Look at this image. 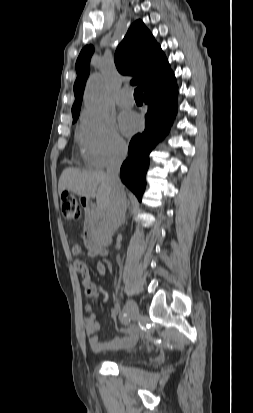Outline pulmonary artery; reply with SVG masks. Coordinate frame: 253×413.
Returning a JSON list of instances; mask_svg holds the SVG:
<instances>
[{
  "label": "pulmonary artery",
  "mask_w": 253,
  "mask_h": 413,
  "mask_svg": "<svg viewBox=\"0 0 253 413\" xmlns=\"http://www.w3.org/2000/svg\"><path fill=\"white\" fill-rule=\"evenodd\" d=\"M116 103L120 107H131L134 105L135 101L128 89H122L116 97Z\"/></svg>",
  "instance_id": "pulmonary-artery-1"
}]
</instances>
